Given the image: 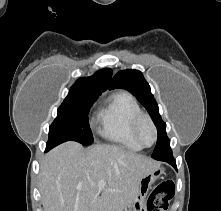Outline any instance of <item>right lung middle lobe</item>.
<instances>
[{"label":"right lung middle lobe","mask_w":221,"mask_h":211,"mask_svg":"<svg viewBox=\"0 0 221 211\" xmlns=\"http://www.w3.org/2000/svg\"><path fill=\"white\" fill-rule=\"evenodd\" d=\"M97 96H82L64 100L58 108V115L49 127V149L66 141H77L82 145L93 143L88 123V112Z\"/></svg>","instance_id":"obj_1"}]
</instances>
